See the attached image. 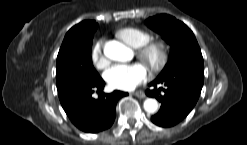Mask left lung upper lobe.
<instances>
[{
    "label": "left lung upper lobe",
    "mask_w": 247,
    "mask_h": 145,
    "mask_svg": "<svg viewBox=\"0 0 247 145\" xmlns=\"http://www.w3.org/2000/svg\"><path fill=\"white\" fill-rule=\"evenodd\" d=\"M146 23L171 46L169 60L157 78L180 71L204 74L201 50L188 26L167 14L148 18Z\"/></svg>",
    "instance_id": "obj_1"
}]
</instances>
